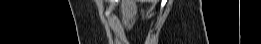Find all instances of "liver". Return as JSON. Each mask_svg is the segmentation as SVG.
<instances>
[{
  "mask_svg": "<svg viewBox=\"0 0 261 44\" xmlns=\"http://www.w3.org/2000/svg\"><path fill=\"white\" fill-rule=\"evenodd\" d=\"M136 1L138 0H122L120 9L122 21L127 28H131L137 13Z\"/></svg>",
  "mask_w": 261,
  "mask_h": 44,
  "instance_id": "obj_1",
  "label": "liver"
}]
</instances>
